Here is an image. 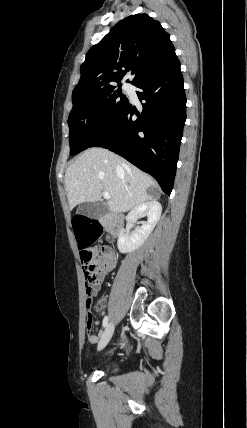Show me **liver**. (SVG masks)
I'll return each mask as SVG.
<instances>
[{
  "label": "liver",
  "instance_id": "liver-1",
  "mask_svg": "<svg viewBox=\"0 0 247 428\" xmlns=\"http://www.w3.org/2000/svg\"><path fill=\"white\" fill-rule=\"evenodd\" d=\"M70 210L84 202H97L103 192L110 193L111 212H127L153 200L148 188H158L152 177L122 157L104 148L84 151L65 173Z\"/></svg>",
  "mask_w": 247,
  "mask_h": 428
}]
</instances>
